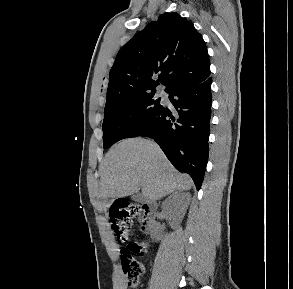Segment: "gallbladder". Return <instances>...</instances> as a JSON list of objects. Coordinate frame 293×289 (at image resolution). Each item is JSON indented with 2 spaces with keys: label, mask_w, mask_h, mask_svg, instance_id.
I'll use <instances>...</instances> for the list:
<instances>
[{
  "label": "gallbladder",
  "mask_w": 293,
  "mask_h": 289,
  "mask_svg": "<svg viewBox=\"0 0 293 289\" xmlns=\"http://www.w3.org/2000/svg\"><path fill=\"white\" fill-rule=\"evenodd\" d=\"M132 199L136 202H143V197L138 192L133 194Z\"/></svg>",
  "instance_id": "bac80fb5"
}]
</instances>
